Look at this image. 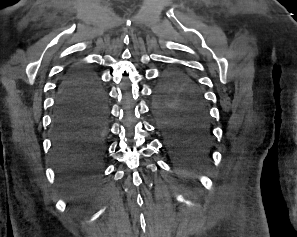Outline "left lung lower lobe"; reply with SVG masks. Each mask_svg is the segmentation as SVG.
Instances as JSON below:
<instances>
[{
	"label": "left lung lower lobe",
	"instance_id": "1",
	"mask_svg": "<svg viewBox=\"0 0 297 237\" xmlns=\"http://www.w3.org/2000/svg\"><path fill=\"white\" fill-rule=\"evenodd\" d=\"M157 125L165 145L180 160L204 159L212 141V130L205 105L185 101L177 105H154Z\"/></svg>",
	"mask_w": 297,
	"mask_h": 237
}]
</instances>
